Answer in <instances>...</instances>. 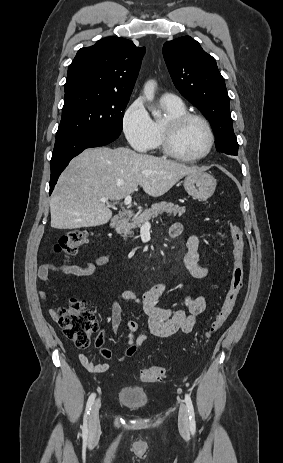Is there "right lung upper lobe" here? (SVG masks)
Listing matches in <instances>:
<instances>
[{
  "instance_id": "right-lung-upper-lobe-1",
  "label": "right lung upper lobe",
  "mask_w": 283,
  "mask_h": 463,
  "mask_svg": "<svg viewBox=\"0 0 283 463\" xmlns=\"http://www.w3.org/2000/svg\"><path fill=\"white\" fill-rule=\"evenodd\" d=\"M144 53V47L119 37H107L79 49L68 67L65 98L82 91L129 98Z\"/></svg>"
}]
</instances>
